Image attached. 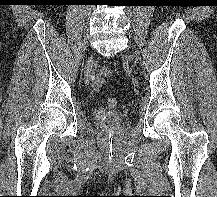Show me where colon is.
<instances>
[{
    "label": "colon",
    "instance_id": "1",
    "mask_svg": "<svg viewBox=\"0 0 217 197\" xmlns=\"http://www.w3.org/2000/svg\"><path fill=\"white\" fill-rule=\"evenodd\" d=\"M107 103L112 108L117 107L119 105L118 99L113 97L108 98Z\"/></svg>",
    "mask_w": 217,
    "mask_h": 197
}]
</instances>
